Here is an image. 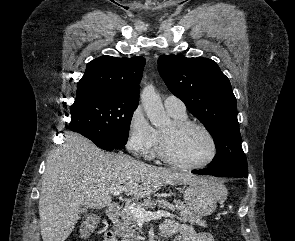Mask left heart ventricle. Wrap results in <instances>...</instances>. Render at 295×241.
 <instances>
[{
    "label": "left heart ventricle",
    "instance_id": "obj_1",
    "mask_svg": "<svg viewBox=\"0 0 295 241\" xmlns=\"http://www.w3.org/2000/svg\"><path fill=\"white\" fill-rule=\"evenodd\" d=\"M162 132L168 136L170 155L182 163H201L211 153L208 137L198 128L189 127L176 132L172 130L170 124Z\"/></svg>",
    "mask_w": 295,
    "mask_h": 241
}]
</instances>
